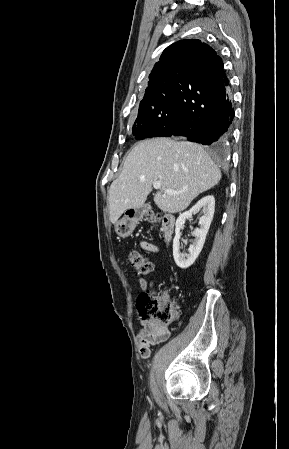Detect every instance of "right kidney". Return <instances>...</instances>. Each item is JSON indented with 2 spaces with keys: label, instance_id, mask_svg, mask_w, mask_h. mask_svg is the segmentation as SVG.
Returning <instances> with one entry per match:
<instances>
[{
  "label": "right kidney",
  "instance_id": "right-kidney-1",
  "mask_svg": "<svg viewBox=\"0 0 289 449\" xmlns=\"http://www.w3.org/2000/svg\"><path fill=\"white\" fill-rule=\"evenodd\" d=\"M202 209L203 216L199 219V228L193 233L196 238L194 243L189 247V254L180 252V230L183 228L186 219L192 217ZM215 210V198L213 195H207L200 199L190 210L180 214L176 220L175 237L173 240V257L176 265L181 269L190 267L199 256L205 243L206 235L210 228Z\"/></svg>",
  "mask_w": 289,
  "mask_h": 449
}]
</instances>
